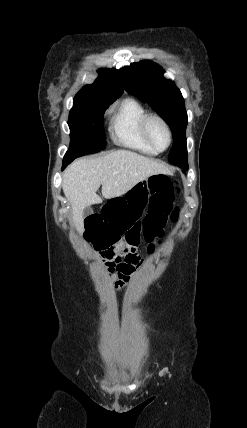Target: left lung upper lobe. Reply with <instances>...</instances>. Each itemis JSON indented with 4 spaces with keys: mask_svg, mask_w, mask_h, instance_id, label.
<instances>
[{
    "mask_svg": "<svg viewBox=\"0 0 247 428\" xmlns=\"http://www.w3.org/2000/svg\"><path fill=\"white\" fill-rule=\"evenodd\" d=\"M119 72L125 90L148 103L170 126L174 142L169 162L188 164L187 113L180 90L171 80L163 78L159 65L149 60L132 63Z\"/></svg>",
    "mask_w": 247,
    "mask_h": 428,
    "instance_id": "5c2ea615",
    "label": "left lung upper lobe"
}]
</instances>
